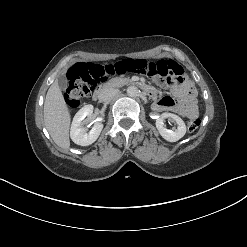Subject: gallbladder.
<instances>
[{
	"mask_svg": "<svg viewBox=\"0 0 247 247\" xmlns=\"http://www.w3.org/2000/svg\"><path fill=\"white\" fill-rule=\"evenodd\" d=\"M57 82L61 90H65L67 88L68 81L65 76H59Z\"/></svg>",
	"mask_w": 247,
	"mask_h": 247,
	"instance_id": "obj_1",
	"label": "gallbladder"
}]
</instances>
